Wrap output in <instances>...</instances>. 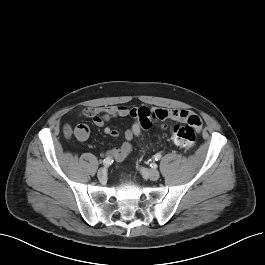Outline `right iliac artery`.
Instances as JSON below:
<instances>
[{
	"mask_svg": "<svg viewBox=\"0 0 265 265\" xmlns=\"http://www.w3.org/2000/svg\"><path fill=\"white\" fill-rule=\"evenodd\" d=\"M112 163H113V159H112V158L107 157V158H105V159L103 160V165H104L105 167H108V166L111 165Z\"/></svg>",
	"mask_w": 265,
	"mask_h": 265,
	"instance_id": "82829eb1",
	"label": "right iliac artery"
}]
</instances>
